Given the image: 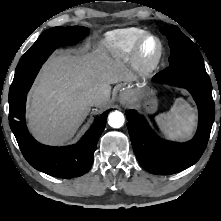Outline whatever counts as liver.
Here are the masks:
<instances>
[{
  "instance_id": "1",
  "label": "liver",
  "mask_w": 221,
  "mask_h": 221,
  "mask_svg": "<svg viewBox=\"0 0 221 221\" xmlns=\"http://www.w3.org/2000/svg\"><path fill=\"white\" fill-rule=\"evenodd\" d=\"M132 79L126 65L103 50L51 56L29 93L27 118L31 133L41 143L64 144L90 111L86 101L89 92L98 91L101 100L97 106L104 107L110 98V85Z\"/></svg>"
}]
</instances>
